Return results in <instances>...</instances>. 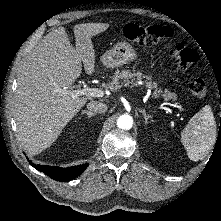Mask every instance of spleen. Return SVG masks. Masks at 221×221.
I'll return each mask as SVG.
<instances>
[{
	"instance_id": "1",
	"label": "spleen",
	"mask_w": 221,
	"mask_h": 221,
	"mask_svg": "<svg viewBox=\"0 0 221 221\" xmlns=\"http://www.w3.org/2000/svg\"><path fill=\"white\" fill-rule=\"evenodd\" d=\"M216 138V121L209 105L189 120L181 134V142L192 161L204 159L212 150Z\"/></svg>"
}]
</instances>
